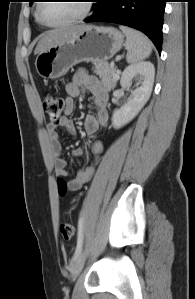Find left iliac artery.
Listing matches in <instances>:
<instances>
[{
    "label": "left iliac artery",
    "instance_id": "left-iliac-artery-1",
    "mask_svg": "<svg viewBox=\"0 0 195 299\" xmlns=\"http://www.w3.org/2000/svg\"><path fill=\"white\" fill-rule=\"evenodd\" d=\"M83 245V217L79 219V226H78V240H77V247L73 256V260L79 255L82 250Z\"/></svg>",
    "mask_w": 195,
    "mask_h": 299
}]
</instances>
